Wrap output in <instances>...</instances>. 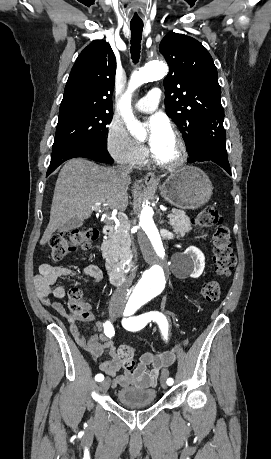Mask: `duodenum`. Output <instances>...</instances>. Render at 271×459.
<instances>
[{
	"label": "duodenum",
	"instance_id": "obj_1",
	"mask_svg": "<svg viewBox=\"0 0 271 459\" xmlns=\"http://www.w3.org/2000/svg\"><path fill=\"white\" fill-rule=\"evenodd\" d=\"M103 233L105 235H110L114 231V225L111 221H107L105 225L103 226L102 229ZM135 265H132L130 268V272H132L135 269ZM128 274L122 271L118 270H113L110 274V281L113 285L119 286L122 285L126 279H127Z\"/></svg>",
	"mask_w": 271,
	"mask_h": 459
}]
</instances>
